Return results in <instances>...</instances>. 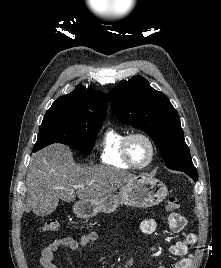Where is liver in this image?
<instances>
[{"label":"liver","mask_w":221,"mask_h":268,"mask_svg":"<svg viewBox=\"0 0 221 268\" xmlns=\"http://www.w3.org/2000/svg\"><path fill=\"white\" fill-rule=\"evenodd\" d=\"M134 175L108 166L80 167L73 160L70 149L61 144L50 145L30 159L26 176V212L48 215L59 199L65 202L99 200L121 187ZM82 185L77 192L74 185Z\"/></svg>","instance_id":"1"}]
</instances>
